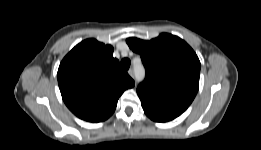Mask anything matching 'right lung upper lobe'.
I'll list each match as a JSON object with an SVG mask.
<instances>
[{
    "mask_svg": "<svg viewBox=\"0 0 261 150\" xmlns=\"http://www.w3.org/2000/svg\"><path fill=\"white\" fill-rule=\"evenodd\" d=\"M57 77L67 107L89 122L108 119L121 94L134 86L113 57V47L95 39L76 45L60 63Z\"/></svg>",
    "mask_w": 261,
    "mask_h": 150,
    "instance_id": "1",
    "label": "right lung upper lobe"
}]
</instances>
